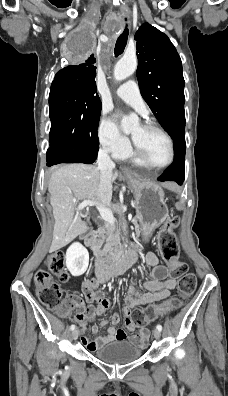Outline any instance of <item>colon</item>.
Instances as JSON below:
<instances>
[{"label":"colon","mask_w":228,"mask_h":396,"mask_svg":"<svg viewBox=\"0 0 228 396\" xmlns=\"http://www.w3.org/2000/svg\"><path fill=\"white\" fill-rule=\"evenodd\" d=\"M178 224L179 218L177 216L168 217L159 232L158 243L162 256L169 263L171 277L178 280L180 297L187 298L193 294L197 279L195 274L188 272L187 264L178 260L179 250L174 235V230ZM45 266L62 282L68 280L69 274L66 269V260L63 252L50 254L45 260ZM34 284L39 301L59 315L64 316L71 309L80 305L75 297L64 295L60 286L52 279L50 273L44 269H40L35 273ZM180 306V298H171L160 306L150 305L145 308L135 309L131 314V321L136 326L143 327L159 314L176 310Z\"/></svg>","instance_id":"1"}]
</instances>
